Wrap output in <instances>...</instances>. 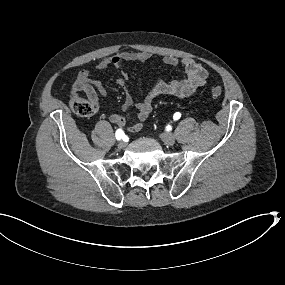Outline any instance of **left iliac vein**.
<instances>
[{
    "instance_id": "4c4485c4",
    "label": "left iliac vein",
    "mask_w": 285,
    "mask_h": 285,
    "mask_svg": "<svg viewBox=\"0 0 285 285\" xmlns=\"http://www.w3.org/2000/svg\"><path fill=\"white\" fill-rule=\"evenodd\" d=\"M161 139L164 142V144L169 146L173 145L175 142V137L171 133L162 135Z\"/></svg>"
}]
</instances>
